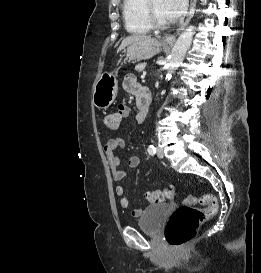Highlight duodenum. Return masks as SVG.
Wrapping results in <instances>:
<instances>
[{"label":"duodenum","mask_w":261,"mask_h":273,"mask_svg":"<svg viewBox=\"0 0 261 273\" xmlns=\"http://www.w3.org/2000/svg\"><path fill=\"white\" fill-rule=\"evenodd\" d=\"M138 113L136 116L137 123H142L148 115V111L151 105V95L146 90L143 89L141 95L137 99Z\"/></svg>","instance_id":"duodenum-1"}]
</instances>
